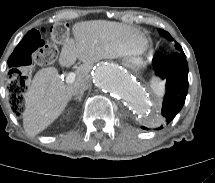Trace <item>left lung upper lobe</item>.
I'll return each instance as SVG.
<instances>
[{
	"label": "left lung upper lobe",
	"instance_id": "5c2ea615",
	"mask_svg": "<svg viewBox=\"0 0 215 183\" xmlns=\"http://www.w3.org/2000/svg\"><path fill=\"white\" fill-rule=\"evenodd\" d=\"M158 32L160 33V35L164 36L166 39L173 41V38L171 37V35L168 32H166L162 29H159ZM175 48L178 50V52H183L181 46L178 43H175Z\"/></svg>",
	"mask_w": 215,
	"mask_h": 183
}]
</instances>
